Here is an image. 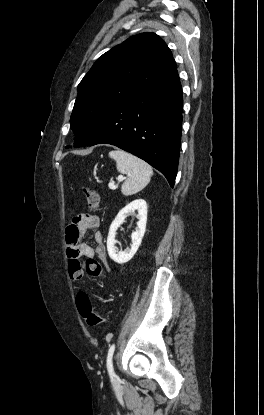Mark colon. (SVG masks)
Segmentation results:
<instances>
[{"label":"colon","mask_w":264,"mask_h":415,"mask_svg":"<svg viewBox=\"0 0 264 415\" xmlns=\"http://www.w3.org/2000/svg\"><path fill=\"white\" fill-rule=\"evenodd\" d=\"M84 196L89 211H96L100 207V195L93 189L85 188ZM71 272L79 277L81 273H86L93 278H100L103 275V266L93 259L85 262L72 261L70 263ZM76 307L80 316L85 320L89 327L95 328L103 323V318L98 311L95 310L88 295L79 292L76 296Z\"/></svg>","instance_id":"5ec220e1"}]
</instances>
